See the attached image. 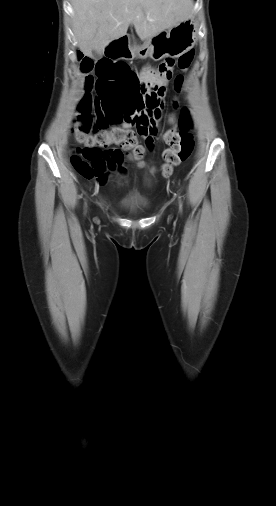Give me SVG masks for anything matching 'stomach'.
I'll return each instance as SVG.
<instances>
[{
  "label": "stomach",
  "instance_id": "obj_1",
  "mask_svg": "<svg viewBox=\"0 0 276 506\" xmlns=\"http://www.w3.org/2000/svg\"><path fill=\"white\" fill-rule=\"evenodd\" d=\"M197 28L192 18L179 22L168 31H161L146 39L137 49V55L159 61L165 57L177 58L196 43Z\"/></svg>",
  "mask_w": 276,
  "mask_h": 506
}]
</instances>
